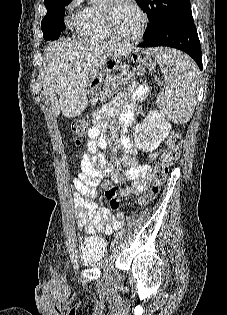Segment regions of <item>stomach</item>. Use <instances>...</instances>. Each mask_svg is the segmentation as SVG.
<instances>
[{
  "mask_svg": "<svg viewBox=\"0 0 227 315\" xmlns=\"http://www.w3.org/2000/svg\"><path fill=\"white\" fill-rule=\"evenodd\" d=\"M118 60L110 61L107 68H102L97 75H92L91 80H87L86 85L89 91H110L111 82L117 81Z\"/></svg>",
  "mask_w": 227,
  "mask_h": 315,
  "instance_id": "obj_1",
  "label": "stomach"
}]
</instances>
